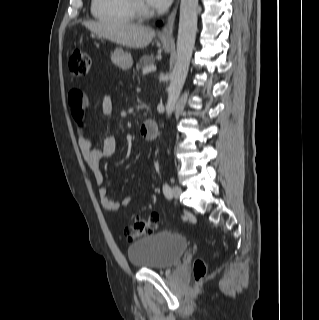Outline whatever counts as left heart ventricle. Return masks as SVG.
<instances>
[{
    "instance_id": "obj_1",
    "label": "left heart ventricle",
    "mask_w": 319,
    "mask_h": 320,
    "mask_svg": "<svg viewBox=\"0 0 319 320\" xmlns=\"http://www.w3.org/2000/svg\"><path fill=\"white\" fill-rule=\"evenodd\" d=\"M147 4H148V1L147 0H144Z\"/></svg>"
}]
</instances>
